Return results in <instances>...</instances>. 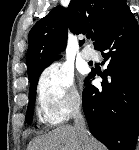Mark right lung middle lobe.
Segmentation results:
<instances>
[{
	"label": "right lung middle lobe",
	"instance_id": "obj_1",
	"mask_svg": "<svg viewBox=\"0 0 139 150\" xmlns=\"http://www.w3.org/2000/svg\"><path fill=\"white\" fill-rule=\"evenodd\" d=\"M46 67H44V68H46ZM43 69H41L32 79L29 80L30 81L29 103H28V108H27V113H26V122L28 124H30L32 122L33 112H34L35 95H36V86H37L38 78H39L41 72L43 71Z\"/></svg>",
	"mask_w": 139,
	"mask_h": 150
}]
</instances>
